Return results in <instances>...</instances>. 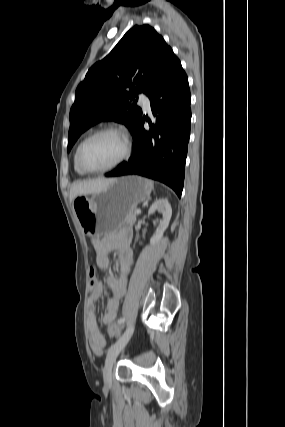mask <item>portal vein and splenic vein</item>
Here are the masks:
<instances>
[{
    "label": "portal vein and splenic vein",
    "mask_w": 285,
    "mask_h": 427,
    "mask_svg": "<svg viewBox=\"0 0 285 427\" xmlns=\"http://www.w3.org/2000/svg\"><path fill=\"white\" fill-rule=\"evenodd\" d=\"M136 213H137V214H140V213H141V210L137 209V210H136Z\"/></svg>",
    "instance_id": "18ae733b"
}]
</instances>
